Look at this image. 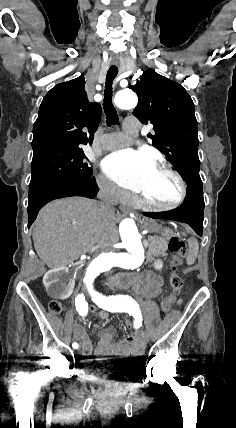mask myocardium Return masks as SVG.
<instances>
[{
  "label": "myocardium",
  "instance_id": "1",
  "mask_svg": "<svg viewBox=\"0 0 236 428\" xmlns=\"http://www.w3.org/2000/svg\"><path fill=\"white\" fill-rule=\"evenodd\" d=\"M155 169L164 170L177 181L179 185V194L177 198L169 204H159L153 202L140 194L139 199L141 203L157 211H172L179 208L185 202L188 196V186L184 176L167 161L158 162L155 166Z\"/></svg>",
  "mask_w": 236,
  "mask_h": 428
}]
</instances>
